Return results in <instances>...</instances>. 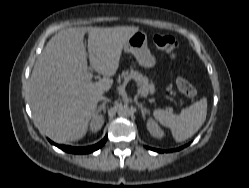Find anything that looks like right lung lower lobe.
<instances>
[{
    "label": "right lung lower lobe",
    "instance_id": "98d812e1",
    "mask_svg": "<svg viewBox=\"0 0 249 188\" xmlns=\"http://www.w3.org/2000/svg\"><path fill=\"white\" fill-rule=\"evenodd\" d=\"M107 140V136L103 140H101L99 143L92 145V146H87V147H71V146H65V145H56L63 151L69 152V153H76V154H86V153H91L100 147H102ZM54 144V143H53Z\"/></svg>",
    "mask_w": 249,
    "mask_h": 188
}]
</instances>
